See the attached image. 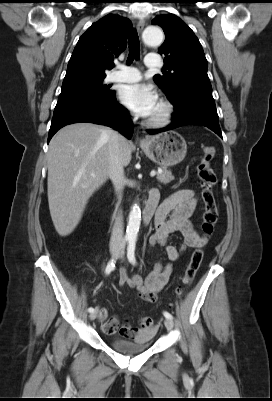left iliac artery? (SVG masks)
Returning a JSON list of instances; mask_svg holds the SVG:
<instances>
[{
    "label": "left iliac artery",
    "instance_id": "obj_1",
    "mask_svg": "<svg viewBox=\"0 0 272 401\" xmlns=\"http://www.w3.org/2000/svg\"><path fill=\"white\" fill-rule=\"evenodd\" d=\"M135 246H136V240L135 239H130L129 240V245H128V248H127V257H128L129 262L132 263V264L136 263ZM163 314H164L165 318H168V319H171V320L173 319V316L169 312L164 311Z\"/></svg>",
    "mask_w": 272,
    "mask_h": 401
}]
</instances>
